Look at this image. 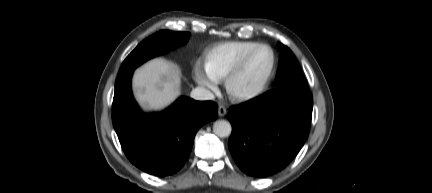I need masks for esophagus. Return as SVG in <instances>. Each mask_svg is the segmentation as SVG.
<instances>
[{
    "label": "esophagus",
    "mask_w": 432,
    "mask_h": 193,
    "mask_svg": "<svg viewBox=\"0 0 432 193\" xmlns=\"http://www.w3.org/2000/svg\"><path fill=\"white\" fill-rule=\"evenodd\" d=\"M226 113H227V110H226L225 106H223V105L220 104L219 107H218V115L220 117H223V116L226 115Z\"/></svg>",
    "instance_id": "1"
}]
</instances>
